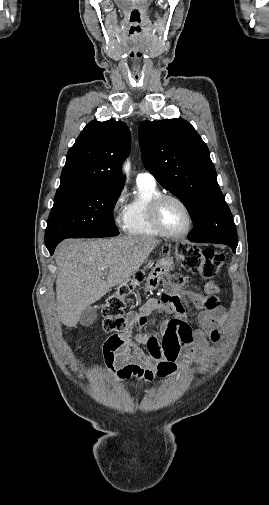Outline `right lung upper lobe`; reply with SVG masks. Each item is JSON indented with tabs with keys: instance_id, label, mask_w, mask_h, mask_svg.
Masks as SVG:
<instances>
[{
	"instance_id": "right-lung-upper-lobe-1",
	"label": "right lung upper lobe",
	"mask_w": 269,
	"mask_h": 505,
	"mask_svg": "<svg viewBox=\"0 0 269 505\" xmlns=\"http://www.w3.org/2000/svg\"><path fill=\"white\" fill-rule=\"evenodd\" d=\"M130 131L121 121H91L67 153L59 188L92 186L122 189L120 165L130 149Z\"/></svg>"
}]
</instances>
